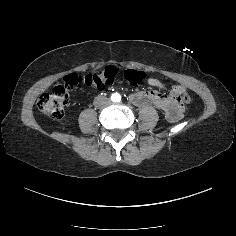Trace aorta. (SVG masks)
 I'll use <instances>...</instances> for the list:
<instances>
[{"mask_svg": "<svg viewBox=\"0 0 236 236\" xmlns=\"http://www.w3.org/2000/svg\"><path fill=\"white\" fill-rule=\"evenodd\" d=\"M120 96L118 95V94H112V96H111V100L112 101H114V102H118V101H120Z\"/></svg>", "mask_w": 236, "mask_h": 236, "instance_id": "obj_1", "label": "aorta"}]
</instances>
